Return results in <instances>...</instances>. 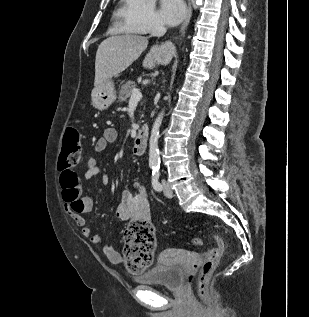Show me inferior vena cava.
<instances>
[{
    "label": "inferior vena cava",
    "instance_id": "1",
    "mask_svg": "<svg viewBox=\"0 0 309 317\" xmlns=\"http://www.w3.org/2000/svg\"><path fill=\"white\" fill-rule=\"evenodd\" d=\"M166 33V28L164 27L162 22H156L155 26L152 29L153 36H163Z\"/></svg>",
    "mask_w": 309,
    "mask_h": 317
}]
</instances>
